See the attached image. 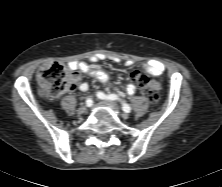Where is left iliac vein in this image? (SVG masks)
<instances>
[{"instance_id":"obj_1","label":"left iliac vein","mask_w":222,"mask_h":187,"mask_svg":"<svg viewBox=\"0 0 222 187\" xmlns=\"http://www.w3.org/2000/svg\"><path fill=\"white\" fill-rule=\"evenodd\" d=\"M105 104H107L108 106L112 107L115 110H119V107L116 103L111 102V101H104ZM123 116L125 117L126 114H123Z\"/></svg>"}]
</instances>
